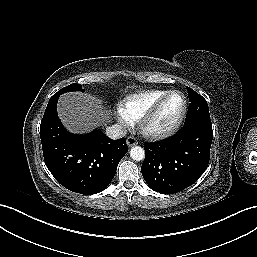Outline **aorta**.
<instances>
[{
  "label": "aorta",
  "mask_w": 257,
  "mask_h": 257,
  "mask_svg": "<svg viewBox=\"0 0 257 257\" xmlns=\"http://www.w3.org/2000/svg\"><path fill=\"white\" fill-rule=\"evenodd\" d=\"M130 156L135 161H141L145 157V151L140 146H134L130 150Z\"/></svg>",
  "instance_id": "762f6f07"
}]
</instances>
